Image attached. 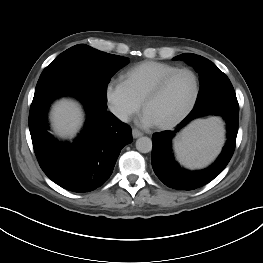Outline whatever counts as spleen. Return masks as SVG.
Returning <instances> with one entry per match:
<instances>
[{"instance_id": "obj_1", "label": "spleen", "mask_w": 263, "mask_h": 263, "mask_svg": "<svg viewBox=\"0 0 263 263\" xmlns=\"http://www.w3.org/2000/svg\"><path fill=\"white\" fill-rule=\"evenodd\" d=\"M223 135L219 118L196 120L175 140L177 158L187 167H203L218 154Z\"/></svg>"}]
</instances>
